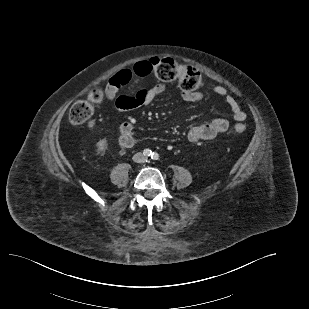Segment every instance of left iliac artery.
Instances as JSON below:
<instances>
[{
	"label": "left iliac artery",
	"instance_id": "left-iliac-artery-1",
	"mask_svg": "<svg viewBox=\"0 0 309 309\" xmlns=\"http://www.w3.org/2000/svg\"><path fill=\"white\" fill-rule=\"evenodd\" d=\"M151 158L153 160H158L159 159V154L155 152V153L152 154Z\"/></svg>",
	"mask_w": 309,
	"mask_h": 309
}]
</instances>
